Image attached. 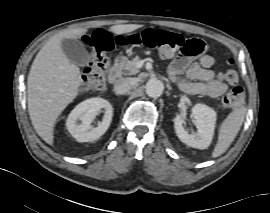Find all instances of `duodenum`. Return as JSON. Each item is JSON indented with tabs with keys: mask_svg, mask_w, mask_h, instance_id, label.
<instances>
[{
	"mask_svg": "<svg viewBox=\"0 0 270 213\" xmlns=\"http://www.w3.org/2000/svg\"><path fill=\"white\" fill-rule=\"evenodd\" d=\"M121 60V56L117 55L113 58V62L109 68L108 71V79L111 83H115L120 78V66L118 65V62Z\"/></svg>",
	"mask_w": 270,
	"mask_h": 213,
	"instance_id": "obj_1",
	"label": "duodenum"
}]
</instances>
